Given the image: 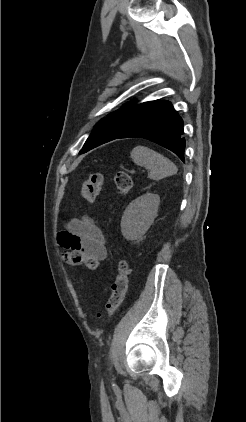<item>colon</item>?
<instances>
[{"label": "colon", "mask_w": 246, "mask_h": 422, "mask_svg": "<svg viewBox=\"0 0 246 422\" xmlns=\"http://www.w3.org/2000/svg\"><path fill=\"white\" fill-rule=\"evenodd\" d=\"M103 174L91 173L81 185V196L87 200H94L103 185ZM115 187L120 195H127L132 189V178L126 172H118L114 178ZM64 260L70 265H84L88 270H95L99 262L85 255L79 250H70L64 253ZM128 288L127 264L124 260H118L115 265V278L111 284V294L105 305L103 314L99 318L104 320L111 316L122 304Z\"/></svg>", "instance_id": "colon-1"}]
</instances>
